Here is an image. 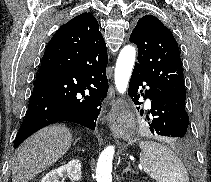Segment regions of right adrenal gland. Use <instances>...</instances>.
<instances>
[{"label":"right adrenal gland","mask_w":211,"mask_h":182,"mask_svg":"<svg viewBox=\"0 0 211 182\" xmlns=\"http://www.w3.org/2000/svg\"><path fill=\"white\" fill-rule=\"evenodd\" d=\"M78 140H79V139H76V140H75V142L73 143L74 146L76 145V143H77Z\"/></svg>","instance_id":"2a0ac1e0"}]
</instances>
